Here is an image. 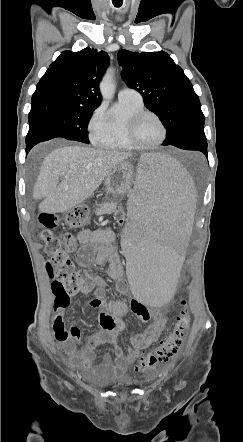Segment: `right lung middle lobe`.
I'll list each match as a JSON object with an SVG mask.
<instances>
[{
	"instance_id": "1",
	"label": "right lung middle lobe",
	"mask_w": 243,
	"mask_h": 442,
	"mask_svg": "<svg viewBox=\"0 0 243 442\" xmlns=\"http://www.w3.org/2000/svg\"><path fill=\"white\" fill-rule=\"evenodd\" d=\"M95 107L82 106L59 96L32 98L29 126L44 125L63 132L66 139L89 143L87 125Z\"/></svg>"
}]
</instances>
